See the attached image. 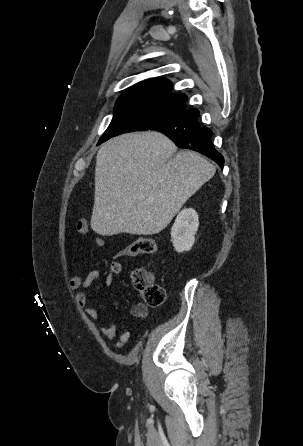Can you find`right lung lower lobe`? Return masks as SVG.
Segmentation results:
<instances>
[{"label":"right lung lower lobe","instance_id":"obj_1","mask_svg":"<svg viewBox=\"0 0 303 446\" xmlns=\"http://www.w3.org/2000/svg\"><path fill=\"white\" fill-rule=\"evenodd\" d=\"M199 111L183 108L162 116L141 130H155L168 136L179 148L202 153L223 169L224 158L211 142L212 130L198 123Z\"/></svg>","mask_w":303,"mask_h":446}]
</instances>
